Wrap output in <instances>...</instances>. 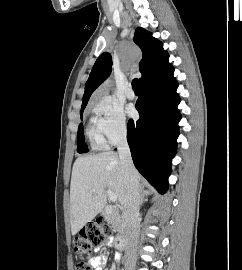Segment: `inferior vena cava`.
I'll return each mask as SVG.
<instances>
[{
	"mask_svg": "<svg viewBox=\"0 0 242 270\" xmlns=\"http://www.w3.org/2000/svg\"><path fill=\"white\" fill-rule=\"evenodd\" d=\"M126 133L119 139L117 150L123 169V177L127 186L124 202L123 218L128 230V246L126 249V266L130 268L134 265V253L138 244L140 223H139V204L140 189L136 182V169L133 165Z\"/></svg>",
	"mask_w": 242,
	"mask_h": 270,
	"instance_id": "obj_1",
	"label": "inferior vena cava"
}]
</instances>
